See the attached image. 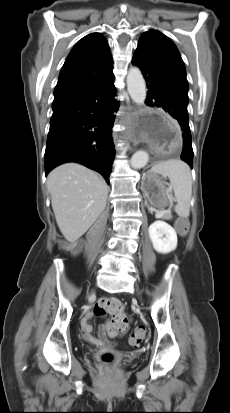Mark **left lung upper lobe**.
Masks as SVG:
<instances>
[{
  "mask_svg": "<svg viewBox=\"0 0 230 413\" xmlns=\"http://www.w3.org/2000/svg\"><path fill=\"white\" fill-rule=\"evenodd\" d=\"M134 56L157 67L178 88L188 93L183 60L175 44L163 33L156 30L143 33L138 41Z\"/></svg>",
  "mask_w": 230,
  "mask_h": 413,
  "instance_id": "left-lung-upper-lobe-1",
  "label": "left lung upper lobe"
}]
</instances>
